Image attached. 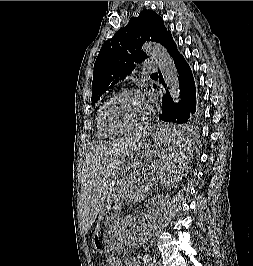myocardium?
I'll return each instance as SVG.
<instances>
[{"mask_svg": "<svg viewBox=\"0 0 253 266\" xmlns=\"http://www.w3.org/2000/svg\"><path fill=\"white\" fill-rule=\"evenodd\" d=\"M131 94H134V95H142V92L140 90H137V89H132V88H129V89H124L118 93H116L114 96H112L103 106L102 108V111H101V116H100V119H101V125L103 127V129L112 134V135H122V134H129V133H132L136 130H139L140 128H142L143 126H145L148 121H149V115L139 124H137L136 126L134 127H130V128H126V129H122V128H115V127H112L108 124L107 122V113H108V110L109 108L113 105V103L115 101H117L119 98L123 97V96H126V95H131Z\"/></svg>", "mask_w": 253, "mask_h": 266, "instance_id": "obj_1", "label": "myocardium"}]
</instances>
